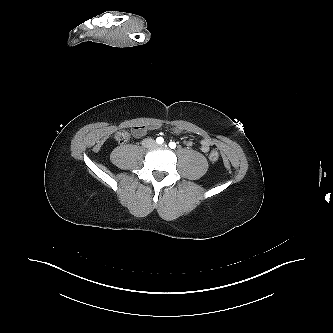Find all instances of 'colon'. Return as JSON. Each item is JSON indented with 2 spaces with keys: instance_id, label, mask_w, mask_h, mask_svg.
I'll return each instance as SVG.
<instances>
[{
  "instance_id": "5ec220e1",
  "label": "colon",
  "mask_w": 333,
  "mask_h": 333,
  "mask_svg": "<svg viewBox=\"0 0 333 333\" xmlns=\"http://www.w3.org/2000/svg\"><path fill=\"white\" fill-rule=\"evenodd\" d=\"M115 139L119 143H124L129 139V133L127 131H119L115 134ZM208 158L211 162H216L219 159V153L216 150H212Z\"/></svg>"
}]
</instances>
